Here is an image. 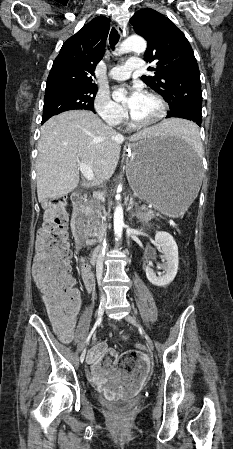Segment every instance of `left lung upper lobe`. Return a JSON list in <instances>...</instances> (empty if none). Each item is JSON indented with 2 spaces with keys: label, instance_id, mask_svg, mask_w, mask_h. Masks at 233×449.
<instances>
[{
  "label": "left lung upper lobe",
  "instance_id": "1",
  "mask_svg": "<svg viewBox=\"0 0 233 449\" xmlns=\"http://www.w3.org/2000/svg\"><path fill=\"white\" fill-rule=\"evenodd\" d=\"M135 32L147 41L144 60L156 62L149 68L154 76L141 79L168 102V114H182L192 120L201 114L202 92L194 52L183 32L161 13L145 8L130 19Z\"/></svg>",
  "mask_w": 233,
  "mask_h": 449
}]
</instances>
